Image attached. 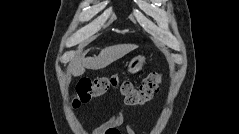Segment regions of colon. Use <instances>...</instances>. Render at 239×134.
<instances>
[{
	"instance_id": "obj_1",
	"label": "colon",
	"mask_w": 239,
	"mask_h": 134,
	"mask_svg": "<svg viewBox=\"0 0 239 134\" xmlns=\"http://www.w3.org/2000/svg\"><path fill=\"white\" fill-rule=\"evenodd\" d=\"M161 76L157 72L149 74L135 87L132 81L123 79L117 74L97 76L94 78H81L73 95V107L90 102L93 98L105 94L111 88H117L129 105H143L149 102L154 94L159 91Z\"/></svg>"
}]
</instances>
